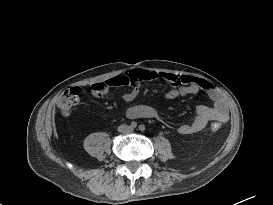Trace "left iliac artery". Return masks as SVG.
Segmentation results:
<instances>
[{"mask_svg":"<svg viewBox=\"0 0 273 205\" xmlns=\"http://www.w3.org/2000/svg\"><path fill=\"white\" fill-rule=\"evenodd\" d=\"M139 130L144 131L145 130V126L144 125H140L139 126Z\"/></svg>","mask_w":273,"mask_h":205,"instance_id":"1","label":"left iliac artery"}]
</instances>
